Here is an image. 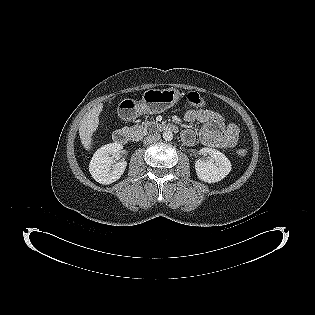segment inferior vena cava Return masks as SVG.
<instances>
[{"label":"inferior vena cava","instance_id":"obj_1","mask_svg":"<svg viewBox=\"0 0 315 315\" xmlns=\"http://www.w3.org/2000/svg\"><path fill=\"white\" fill-rule=\"evenodd\" d=\"M160 138H161L160 134L154 133V134L147 135L144 138L143 142L144 144H151V143L159 141Z\"/></svg>","mask_w":315,"mask_h":315}]
</instances>
